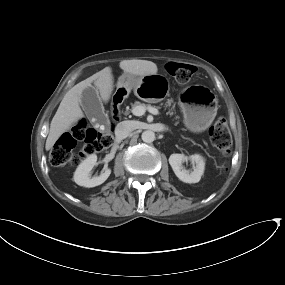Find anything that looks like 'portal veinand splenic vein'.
I'll list each match as a JSON object with an SVG mask.
<instances>
[{
  "mask_svg": "<svg viewBox=\"0 0 285 285\" xmlns=\"http://www.w3.org/2000/svg\"><path fill=\"white\" fill-rule=\"evenodd\" d=\"M146 110H148L151 114L153 115H158L159 114V111L154 108V107H148V108H145L144 106H136L132 109V113L135 115V116H142L145 114Z\"/></svg>",
  "mask_w": 285,
  "mask_h": 285,
  "instance_id": "1",
  "label": "portal vein and splenic vein"
}]
</instances>
